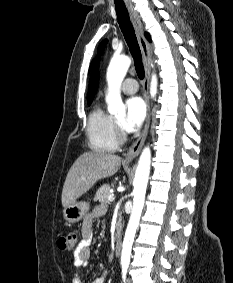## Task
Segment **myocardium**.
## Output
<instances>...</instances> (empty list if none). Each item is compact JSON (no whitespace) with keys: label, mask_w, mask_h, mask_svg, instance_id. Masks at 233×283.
<instances>
[{"label":"myocardium","mask_w":233,"mask_h":283,"mask_svg":"<svg viewBox=\"0 0 233 283\" xmlns=\"http://www.w3.org/2000/svg\"><path fill=\"white\" fill-rule=\"evenodd\" d=\"M115 126H116V131H117V136H118V140H123L124 138V132L122 129V125L121 123H119L117 120H115Z\"/></svg>","instance_id":"f54148a6"}]
</instances>
